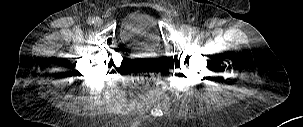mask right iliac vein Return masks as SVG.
<instances>
[{"label": "right iliac vein", "instance_id": "1", "mask_svg": "<svg viewBox=\"0 0 303 127\" xmlns=\"http://www.w3.org/2000/svg\"><path fill=\"white\" fill-rule=\"evenodd\" d=\"M102 23H103V21H102V19L100 17H96L94 19V24L95 25L100 26V25H102Z\"/></svg>", "mask_w": 303, "mask_h": 127}]
</instances>
